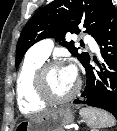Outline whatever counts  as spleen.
Masks as SVG:
<instances>
[{
	"label": "spleen",
	"instance_id": "3e777b00",
	"mask_svg": "<svg viewBox=\"0 0 117 131\" xmlns=\"http://www.w3.org/2000/svg\"><path fill=\"white\" fill-rule=\"evenodd\" d=\"M80 115L85 120L86 124L94 129L112 127L116 124L115 118L101 109L82 108Z\"/></svg>",
	"mask_w": 117,
	"mask_h": 131
}]
</instances>
